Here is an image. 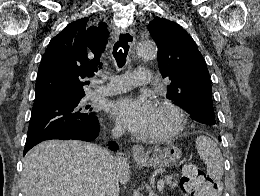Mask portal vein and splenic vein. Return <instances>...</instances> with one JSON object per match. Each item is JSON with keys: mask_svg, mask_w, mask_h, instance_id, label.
<instances>
[{"mask_svg": "<svg viewBox=\"0 0 260 196\" xmlns=\"http://www.w3.org/2000/svg\"><path fill=\"white\" fill-rule=\"evenodd\" d=\"M158 188H159L160 191L164 190V182H163V180L158 182Z\"/></svg>", "mask_w": 260, "mask_h": 196, "instance_id": "obj_1", "label": "portal vein and splenic vein"}]
</instances>
